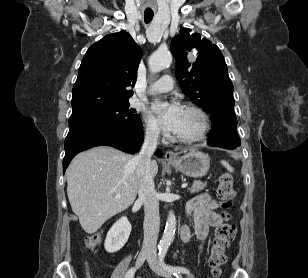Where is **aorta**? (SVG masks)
<instances>
[{"instance_id": "obj_1", "label": "aorta", "mask_w": 308, "mask_h": 278, "mask_svg": "<svg viewBox=\"0 0 308 278\" xmlns=\"http://www.w3.org/2000/svg\"><path fill=\"white\" fill-rule=\"evenodd\" d=\"M172 62V55L170 52L156 51L149 59V68L152 73H157L167 68ZM176 227V218L173 211H170L167 217V222L164 234L159 243L160 250H167L170 246Z\"/></svg>"}]
</instances>
